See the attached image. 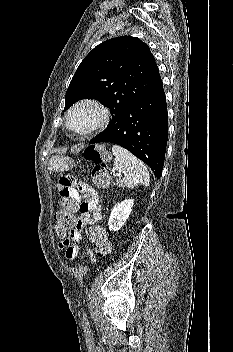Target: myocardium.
<instances>
[{
	"mask_svg": "<svg viewBox=\"0 0 233 352\" xmlns=\"http://www.w3.org/2000/svg\"><path fill=\"white\" fill-rule=\"evenodd\" d=\"M91 107L98 112V118L89 127L84 130L75 129L72 125V116L80 108ZM110 111L109 109L99 100L94 98H85L77 101L69 110L66 118L67 128L80 136L91 135L101 129H103L110 121Z\"/></svg>",
	"mask_w": 233,
	"mask_h": 352,
	"instance_id": "obj_1",
	"label": "myocardium"
}]
</instances>
